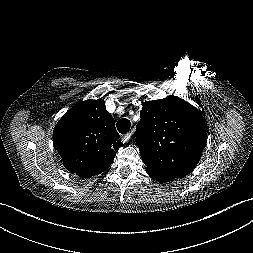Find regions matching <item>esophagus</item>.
<instances>
[{
    "mask_svg": "<svg viewBox=\"0 0 253 253\" xmlns=\"http://www.w3.org/2000/svg\"><path fill=\"white\" fill-rule=\"evenodd\" d=\"M131 135H132V132L125 134V135L122 137V142H123V143L128 142L129 139L131 138Z\"/></svg>",
    "mask_w": 253,
    "mask_h": 253,
    "instance_id": "obj_1",
    "label": "esophagus"
}]
</instances>
